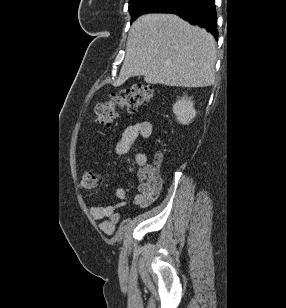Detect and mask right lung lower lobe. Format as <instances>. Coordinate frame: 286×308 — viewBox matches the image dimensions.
Masks as SVG:
<instances>
[{
  "label": "right lung lower lobe",
  "instance_id": "1",
  "mask_svg": "<svg viewBox=\"0 0 286 308\" xmlns=\"http://www.w3.org/2000/svg\"><path fill=\"white\" fill-rule=\"evenodd\" d=\"M152 12L176 14L209 30L218 39L215 0H169Z\"/></svg>",
  "mask_w": 286,
  "mask_h": 308
}]
</instances>
